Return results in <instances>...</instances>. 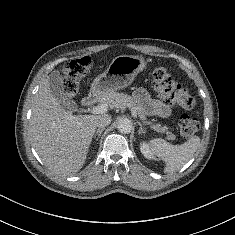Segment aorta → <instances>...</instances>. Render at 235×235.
Wrapping results in <instances>:
<instances>
[{"instance_id": "obj_1", "label": "aorta", "mask_w": 235, "mask_h": 235, "mask_svg": "<svg viewBox=\"0 0 235 235\" xmlns=\"http://www.w3.org/2000/svg\"><path fill=\"white\" fill-rule=\"evenodd\" d=\"M117 129L122 134H128L132 130V123L129 119H121L117 124Z\"/></svg>"}]
</instances>
